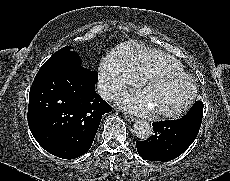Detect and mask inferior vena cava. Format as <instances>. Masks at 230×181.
Instances as JSON below:
<instances>
[{"label":"inferior vena cava","instance_id":"602c4592","mask_svg":"<svg viewBox=\"0 0 230 181\" xmlns=\"http://www.w3.org/2000/svg\"><path fill=\"white\" fill-rule=\"evenodd\" d=\"M96 91L105 100H111L120 93V89L103 79L97 82Z\"/></svg>","mask_w":230,"mask_h":181}]
</instances>
